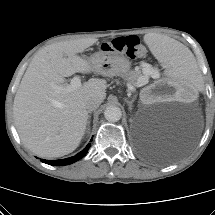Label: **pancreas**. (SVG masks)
Masks as SVG:
<instances>
[{
  "label": "pancreas",
  "instance_id": "pancreas-1",
  "mask_svg": "<svg viewBox=\"0 0 215 215\" xmlns=\"http://www.w3.org/2000/svg\"><path fill=\"white\" fill-rule=\"evenodd\" d=\"M143 75L141 72H132L131 75L127 78L128 81L133 84L134 86H139L138 80L141 78Z\"/></svg>",
  "mask_w": 215,
  "mask_h": 215
}]
</instances>
